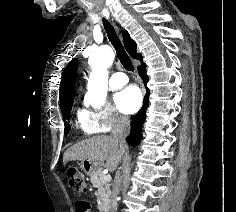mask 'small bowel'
I'll return each instance as SVG.
<instances>
[{"mask_svg":"<svg viewBox=\"0 0 236 212\" xmlns=\"http://www.w3.org/2000/svg\"><path fill=\"white\" fill-rule=\"evenodd\" d=\"M75 212H90V199H75Z\"/></svg>","mask_w":236,"mask_h":212,"instance_id":"1","label":"small bowel"}]
</instances>
